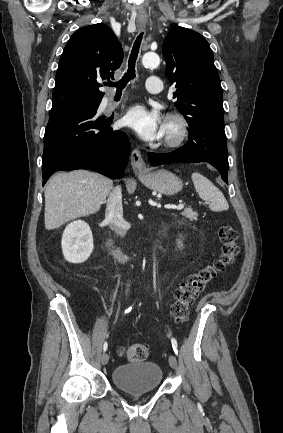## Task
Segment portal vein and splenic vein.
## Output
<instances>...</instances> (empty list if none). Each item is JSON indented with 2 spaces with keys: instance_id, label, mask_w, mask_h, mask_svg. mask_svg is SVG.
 <instances>
[{
  "instance_id": "obj_1",
  "label": "portal vein and splenic vein",
  "mask_w": 283,
  "mask_h": 433,
  "mask_svg": "<svg viewBox=\"0 0 283 433\" xmlns=\"http://www.w3.org/2000/svg\"><path fill=\"white\" fill-rule=\"evenodd\" d=\"M184 204H178V206H175V208H177V210H181V208H183Z\"/></svg>"
}]
</instances>
